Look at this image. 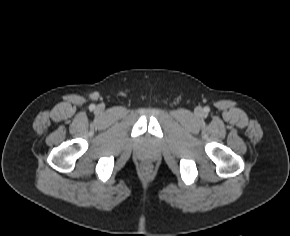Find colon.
<instances>
[{
  "label": "colon",
  "instance_id": "5ec220e1",
  "mask_svg": "<svg viewBox=\"0 0 290 236\" xmlns=\"http://www.w3.org/2000/svg\"><path fill=\"white\" fill-rule=\"evenodd\" d=\"M148 167V165H145V168H147Z\"/></svg>",
  "mask_w": 290,
  "mask_h": 236
}]
</instances>
